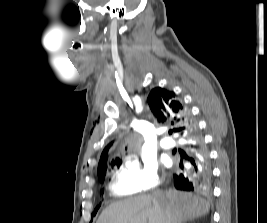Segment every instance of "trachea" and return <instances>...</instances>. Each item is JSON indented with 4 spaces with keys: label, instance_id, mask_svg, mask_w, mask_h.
Instances as JSON below:
<instances>
[{
    "label": "trachea",
    "instance_id": "3493384b",
    "mask_svg": "<svg viewBox=\"0 0 267 223\" xmlns=\"http://www.w3.org/2000/svg\"><path fill=\"white\" fill-rule=\"evenodd\" d=\"M172 133H173V131H172V130H170V131H169V134H172Z\"/></svg>",
    "mask_w": 267,
    "mask_h": 223
}]
</instances>
